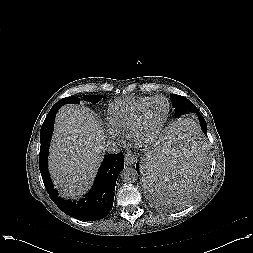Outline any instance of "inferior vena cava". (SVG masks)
<instances>
[{"label":"inferior vena cava","instance_id":"1","mask_svg":"<svg viewBox=\"0 0 253 253\" xmlns=\"http://www.w3.org/2000/svg\"><path fill=\"white\" fill-rule=\"evenodd\" d=\"M105 149L109 153H118L121 147L119 146V144H116V142L114 141H108Z\"/></svg>","mask_w":253,"mask_h":253}]
</instances>
